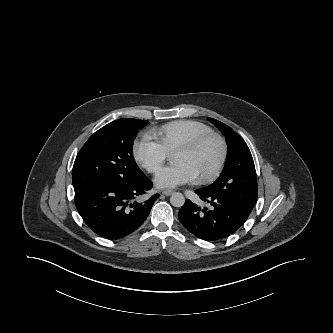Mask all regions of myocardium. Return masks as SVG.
Wrapping results in <instances>:
<instances>
[{
    "mask_svg": "<svg viewBox=\"0 0 333 333\" xmlns=\"http://www.w3.org/2000/svg\"><path fill=\"white\" fill-rule=\"evenodd\" d=\"M211 139H215L220 143L221 155H220L218 163L216 164V166L214 167V169L211 172L194 179L197 184H205V183L212 182L222 172V170L226 164V161L228 158V153H229L228 143H227V140L225 139V137L222 136L221 134H219L218 132L210 131V132L201 134L195 138H192L189 141L181 144L171 153V156L173 157L177 153L192 152V151L198 149L200 146H202L204 143H206L207 141H209Z\"/></svg>",
    "mask_w": 333,
    "mask_h": 333,
    "instance_id": "1",
    "label": "myocardium"
}]
</instances>
